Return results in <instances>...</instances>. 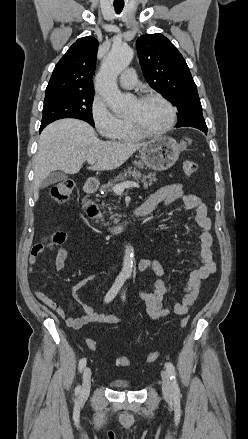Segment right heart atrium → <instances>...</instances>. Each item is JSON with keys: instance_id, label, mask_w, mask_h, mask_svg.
I'll use <instances>...</instances> for the list:
<instances>
[{"instance_id": "right-heart-atrium-1", "label": "right heart atrium", "mask_w": 248, "mask_h": 439, "mask_svg": "<svg viewBox=\"0 0 248 439\" xmlns=\"http://www.w3.org/2000/svg\"><path fill=\"white\" fill-rule=\"evenodd\" d=\"M91 118L103 138H114L122 125V119L117 117L109 108L107 102L100 96H95L91 104Z\"/></svg>"}]
</instances>
